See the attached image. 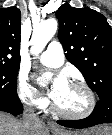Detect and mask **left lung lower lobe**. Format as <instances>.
<instances>
[{
    "mask_svg": "<svg viewBox=\"0 0 112 135\" xmlns=\"http://www.w3.org/2000/svg\"><path fill=\"white\" fill-rule=\"evenodd\" d=\"M58 124L70 128H87L112 123V96L101 98L90 116L81 120H59Z\"/></svg>",
    "mask_w": 112,
    "mask_h": 135,
    "instance_id": "0a47b994",
    "label": "left lung lower lobe"
}]
</instances>
